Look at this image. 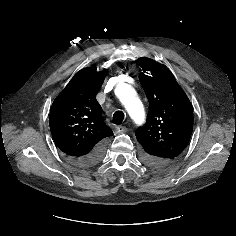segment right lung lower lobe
Returning <instances> with one entry per match:
<instances>
[{
    "mask_svg": "<svg viewBox=\"0 0 236 236\" xmlns=\"http://www.w3.org/2000/svg\"><path fill=\"white\" fill-rule=\"evenodd\" d=\"M105 140L97 144L89 153L81 157H67L70 162L79 167H89L97 164L104 156Z\"/></svg>",
    "mask_w": 236,
    "mask_h": 236,
    "instance_id": "98d812e1",
    "label": "right lung lower lobe"
}]
</instances>
